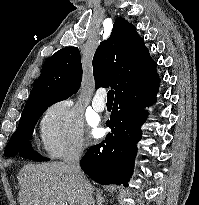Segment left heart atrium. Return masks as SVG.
<instances>
[{
	"label": "left heart atrium",
	"mask_w": 199,
	"mask_h": 205,
	"mask_svg": "<svg viewBox=\"0 0 199 205\" xmlns=\"http://www.w3.org/2000/svg\"><path fill=\"white\" fill-rule=\"evenodd\" d=\"M100 134V130L99 129H96L95 130V135H99Z\"/></svg>",
	"instance_id": "1"
}]
</instances>
